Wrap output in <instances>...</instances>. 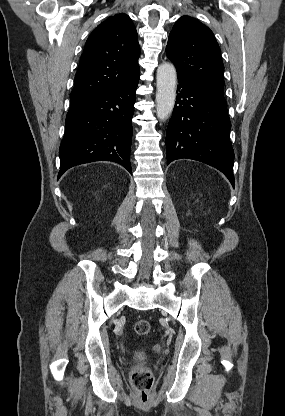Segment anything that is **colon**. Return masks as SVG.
Segmentation results:
<instances>
[{
	"mask_svg": "<svg viewBox=\"0 0 285 416\" xmlns=\"http://www.w3.org/2000/svg\"><path fill=\"white\" fill-rule=\"evenodd\" d=\"M134 331L139 336H147L151 332L149 321L140 319L134 324ZM137 359H143V353H138ZM130 382L136 393L137 404L147 406L153 398L154 379L152 373L144 367H136L130 377Z\"/></svg>",
	"mask_w": 285,
	"mask_h": 416,
	"instance_id": "1",
	"label": "colon"
}]
</instances>
